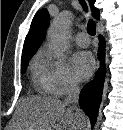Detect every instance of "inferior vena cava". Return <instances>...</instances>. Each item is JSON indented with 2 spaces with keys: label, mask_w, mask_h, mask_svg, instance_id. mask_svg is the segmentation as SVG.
Returning a JSON list of instances; mask_svg holds the SVG:
<instances>
[{
  "label": "inferior vena cava",
  "mask_w": 123,
  "mask_h": 130,
  "mask_svg": "<svg viewBox=\"0 0 123 130\" xmlns=\"http://www.w3.org/2000/svg\"><path fill=\"white\" fill-rule=\"evenodd\" d=\"M80 95V88L77 82L71 80L68 85L67 96L64 103L67 104H77Z\"/></svg>",
  "instance_id": "1"
}]
</instances>
